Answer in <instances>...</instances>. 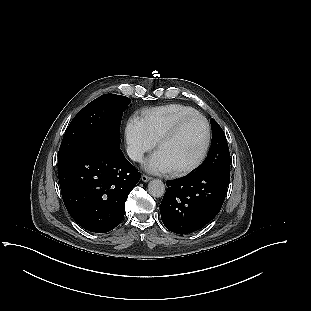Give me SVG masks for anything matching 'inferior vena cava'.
Segmentation results:
<instances>
[{
  "label": "inferior vena cava",
  "instance_id": "602c4592",
  "mask_svg": "<svg viewBox=\"0 0 311 311\" xmlns=\"http://www.w3.org/2000/svg\"><path fill=\"white\" fill-rule=\"evenodd\" d=\"M127 154L133 161L140 162L143 159V153L131 146L127 147Z\"/></svg>",
  "mask_w": 311,
  "mask_h": 311
}]
</instances>
